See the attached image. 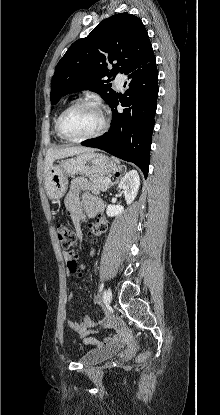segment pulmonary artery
Masks as SVG:
<instances>
[{
    "mask_svg": "<svg viewBox=\"0 0 220 415\" xmlns=\"http://www.w3.org/2000/svg\"><path fill=\"white\" fill-rule=\"evenodd\" d=\"M125 80V76L123 74H117L115 77V84L119 89L123 88V83Z\"/></svg>",
    "mask_w": 220,
    "mask_h": 415,
    "instance_id": "pulmonary-artery-1",
    "label": "pulmonary artery"
}]
</instances>
